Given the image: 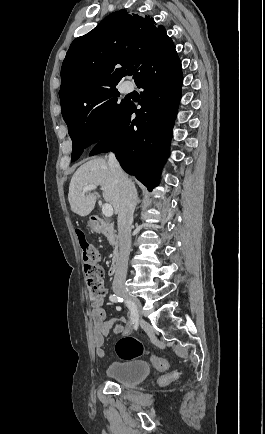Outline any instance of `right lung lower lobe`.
<instances>
[{"mask_svg": "<svg viewBox=\"0 0 265 434\" xmlns=\"http://www.w3.org/2000/svg\"><path fill=\"white\" fill-rule=\"evenodd\" d=\"M135 83L144 89L137 104L141 108L137 110L131 102L121 123L98 142L90 156L113 151L123 169L151 191L168 156L181 98L182 66L175 48L148 63Z\"/></svg>", "mask_w": 265, "mask_h": 434, "instance_id": "1", "label": "right lung lower lobe"}]
</instances>
